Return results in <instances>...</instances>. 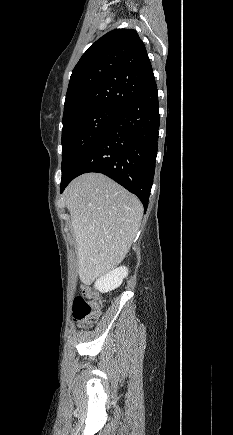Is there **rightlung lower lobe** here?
Returning <instances> with one entry per match:
<instances>
[{"mask_svg": "<svg viewBox=\"0 0 233 435\" xmlns=\"http://www.w3.org/2000/svg\"><path fill=\"white\" fill-rule=\"evenodd\" d=\"M159 103L154 81L127 104L61 180L60 190L75 177L99 172L134 193L147 209L155 173Z\"/></svg>", "mask_w": 233, "mask_h": 435, "instance_id": "obj_1", "label": "right lung lower lobe"}]
</instances>
